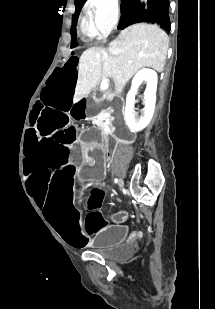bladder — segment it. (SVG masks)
<instances>
[{
    "label": "bladder",
    "mask_w": 215,
    "mask_h": 309,
    "mask_svg": "<svg viewBox=\"0 0 215 309\" xmlns=\"http://www.w3.org/2000/svg\"><path fill=\"white\" fill-rule=\"evenodd\" d=\"M135 253V246L127 243L121 245L117 250L103 253V256L115 262H124L129 260Z\"/></svg>",
    "instance_id": "31cf9c89"
}]
</instances>
